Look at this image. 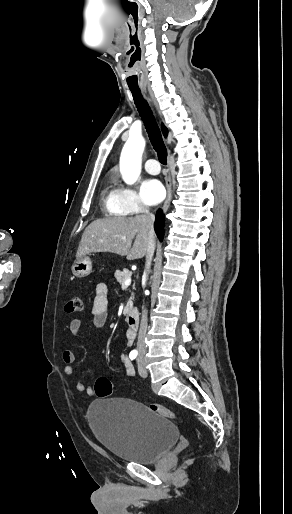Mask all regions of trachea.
<instances>
[{
	"label": "trachea",
	"instance_id": "1",
	"mask_svg": "<svg viewBox=\"0 0 292 514\" xmlns=\"http://www.w3.org/2000/svg\"><path fill=\"white\" fill-rule=\"evenodd\" d=\"M131 93L134 98L135 105L140 114V117L144 123L150 142L157 152L159 162L161 164H167V149L162 139L161 131L157 125L155 117L151 111L146 100L141 95V91L137 89H131Z\"/></svg>",
	"mask_w": 292,
	"mask_h": 514
}]
</instances>
